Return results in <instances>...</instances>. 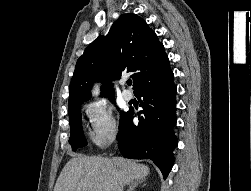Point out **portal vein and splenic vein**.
<instances>
[{"instance_id": "18ae733b", "label": "portal vein and splenic vein", "mask_w": 251, "mask_h": 191, "mask_svg": "<svg viewBox=\"0 0 251 191\" xmlns=\"http://www.w3.org/2000/svg\"><path fill=\"white\" fill-rule=\"evenodd\" d=\"M94 189H96V191H103V189H101L100 185H94Z\"/></svg>"}]
</instances>
